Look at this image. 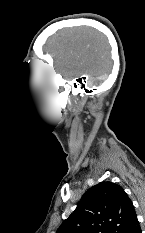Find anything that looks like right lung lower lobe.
Wrapping results in <instances>:
<instances>
[{"mask_svg": "<svg viewBox=\"0 0 145 233\" xmlns=\"http://www.w3.org/2000/svg\"><path fill=\"white\" fill-rule=\"evenodd\" d=\"M126 233H141V228L137 220V217L134 219L133 223L131 224L129 229L126 231Z\"/></svg>", "mask_w": 145, "mask_h": 233, "instance_id": "1", "label": "right lung lower lobe"}]
</instances>
